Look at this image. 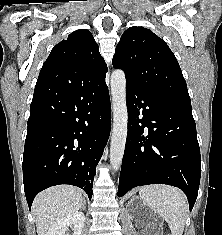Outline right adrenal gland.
Wrapping results in <instances>:
<instances>
[{"label":"right adrenal gland","mask_w":222,"mask_h":235,"mask_svg":"<svg viewBox=\"0 0 222 235\" xmlns=\"http://www.w3.org/2000/svg\"><path fill=\"white\" fill-rule=\"evenodd\" d=\"M82 209H83V210H86V202H85V201H83Z\"/></svg>","instance_id":"right-adrenal-gland-1"}]
</instances>
